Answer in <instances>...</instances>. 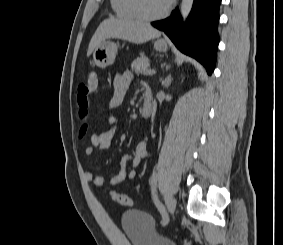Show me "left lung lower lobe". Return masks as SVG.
<instances>
[{
    "mask_svg": "<svg viewBox=\"0 0 283 245\" xmlns=\"http://www.w3.org/2000/svg\"><path fill=\"white\" fill-rule=\"evenodd\" d=\"M220 3L221 0H194L185 28L178 9L170 17L151 23L164 31L180 51L202 63L209 75L216 63Z\"/></svg>",
    "mask_w": 283,
    "mask_h": 245,
    "instance_id": "0a47b994",
    "label": "left lung lower lobe"
}]
</instances>
